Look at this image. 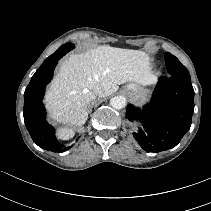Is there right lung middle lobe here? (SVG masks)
<instances>
[{
  "instance_id": "obj_1",
  "label": "right lung middle lobe",
  "mask_w": 211,
  "mask_h": 211,
  "mask_svg": "<svg viewBox=\"0 0 211 211\" xmlns=\"http://www.w3.org/2000/svg\"><path fill=\"white\" fill-rule=\"evenodd\" d=\"M74 48V44L72 43H66L62 45L54 54L49 56L42 65L47 64L49 62H52L54 60H59L62 56H64L67 52L72 50Z\"/></svg>"
}]
</instances>
